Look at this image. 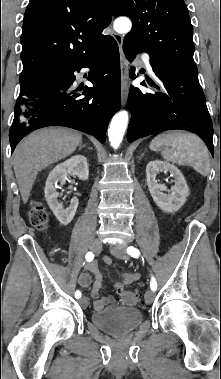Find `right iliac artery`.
Wrapping results in <instances>:
<instances>
[{"label":"right iliac artery","mask_w":221,"mask_h":379,"mask_svg":"<svg viewBox=\"0 0 221 379\" xmlns=\"http://www.w3.org/2000/svg\"><path fill=\"white\" fill-rule=\"evenodd\" d=\"M87 262H91L94 259V254L92 252H88L85 256ZM75 297L78 299L81 297V292L77 290L75 292Z\"/></svg>","instance_id":"82829eb1"}]
</instances>
